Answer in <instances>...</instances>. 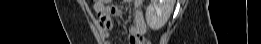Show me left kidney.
Instances as JSON below:
<instances>
[{
  "label": "left kidney",
  "instance_id": "1",
  "mask_svg": "<svg viewBox=\"0 0 261 44\" xmlns=\"http://www.w3.org/2000/svg\"><path fill=\"white\" fill-rule=\"evenodd\" d=\"M174 2V0H151L145 16L152 30H159L165 25L173 10Z\"/></svg>",
  "mask_w": 261,
  "mask_h": 44
}]
</instances>
